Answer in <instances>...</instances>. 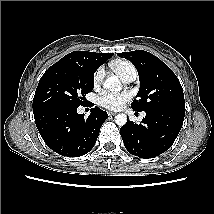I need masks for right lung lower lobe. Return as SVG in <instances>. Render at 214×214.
Segmentation results:
<instances>
[{"label": "right lung lower lobe", "instance_id": "right-lung-lower-lobe-1", "mask_svg": "<svg viewBox=\"0 0 214 214\" xmlns=\"http://www.w3.org/2000/svg\"><path fill=\"white\" fill-rule=\"evenodd\" d=\"M78 106H53L34 113L35 123L46 145L68 157L88 153L95 145L106 111L91 108V114L77 113Z\"/></svg>", "mask_w": 214, "mask_h": 214}]
</instances>
